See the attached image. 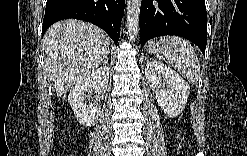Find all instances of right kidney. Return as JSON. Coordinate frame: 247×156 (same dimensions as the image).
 Here are the masks:
<instances>
[{
    "mask_svg": "<svg viewBox=\"0 0 247 156\" xmlns=\"http://www.w3.org/2000/svg\"><path fill=\"white\" fill-rule=\"evenodd\" d=\"M108 81L109 68L103 66L92 71L85 79L78 81L70 90L68 101L80 124L89 127L97 122L101 108L99 105L88 104L86 93L92 89H94L96 94L103 93L107 88Z\"/></svg>",
    "mask_w": 247,
    "mask_h": 156,
    "instance_id": "obj_1",
    "label": "right kidney"
}]
</instances>
